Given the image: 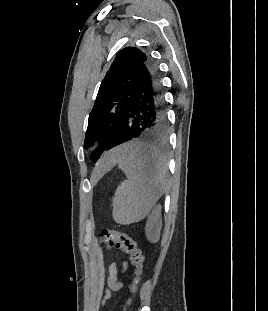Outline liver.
<instances>
[{
  "instance_id": "1",
  "label": "liver",
  "mask_w": 268,
  "mask_h": 311,
  "mask_svg": "<svg viewBox=\"0 0 268 311\" xmlns=\"http://www.w3.org/2000/svg\"><path fill=\"white\" fill-rule=\"evenodd\" d=\"M117 150H113L106 154L96 167V172H102L110 168L116 162Z\"/></svg>"
}]
</instances>
